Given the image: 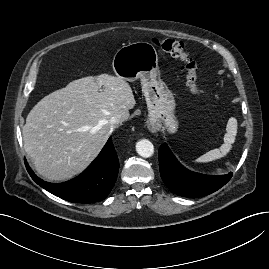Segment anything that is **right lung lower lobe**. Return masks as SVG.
<instances>
[{
    "label": "right lung lower lobe",
    "mask_w": 269,
    "mask_h": 269,
    "mask_svg": "<svg viewBox=\"0 0 269 269\" xmlns=\"http://www.w3.org/2000/svg\"><path fill=\"white\" fill-rule=\"evenodd\" d=\"M26 163L32 179L50 193L74 203H92L104 200L112 190L119 171V160L111 137L97 158L76 178L52 184L37 177Z\"/></svg>",
    "instance_id": "98d812e1"
}]
</instances>
